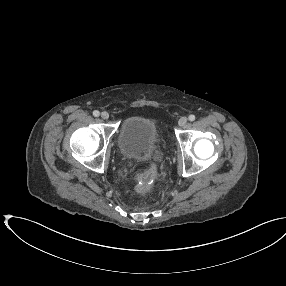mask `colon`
<instances>
[{
  "mask_svg": "<svg viewBox=\"0 0 286 286\" xmlns=\"http://www.w3.org/2000/svg\"><path fill=\"white\" fill-rule=\"evenodd\" d=\"M158 174V169L156 165H152L147 170L143 171L142 173L138 174L137 179V190L139 192L146 191L150 185L153 184L156 176Z\"/></svg>",
  "mask_w": 286,
  "mask_h": 286,
  "instance_id": "colon-1",
  "label": "colon"
}]
</instances>
